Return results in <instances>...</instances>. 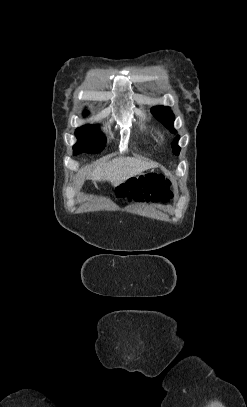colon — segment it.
<instances>
[{
  "label": "colon",
  "mask_w": 247,
  "mask_h": 407,
  "mask_svg": "<svg viewBox=\"0 0 247 407\" xmlns=\"http://www.w3.org/2000/svg\"><path fill=\"white\" fill-rule=\"evenodd\" d=\"M115 192L118 196L137 202H167L172 198L169 180L157 174L130 179Z\"/></svg>",
  "instance_id": "1"
}]
</instances>
